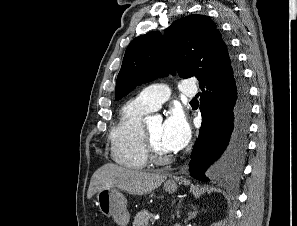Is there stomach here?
Returning a JSON list of instances; mask_svg holds the SVG:
<instances>
[{"mask_svg": "<svg viewBox=\"0 0 297 226\" xmlns=\"http://www.w3.org/2000/svg\"><path fill=\"white\" fill-rule=\"evenodd\" d=\"M164 189L168 193H174L177 190V183L166 181ZM97 206L100 211L113 217L114 221L120 226H126L130 219L127 210V200L125 196L116 188H105L97 192Z\"/></svg>", "mask_w": 297, "mask_h": 226, "instance_id": "1", "label": "stomach"}]
</instances>
